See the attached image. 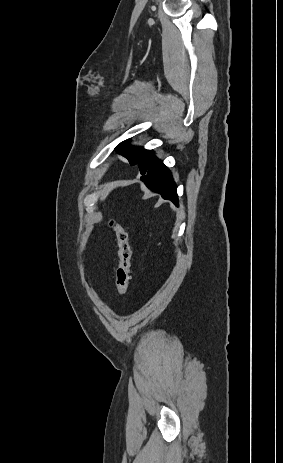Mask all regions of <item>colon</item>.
<instances>
[{
    "label": "colon",
    "instance_id": "5ec220e1",
    "mask_svg": "<svg viewBox=\"0 0 283 463\" xmlns=\"http://www.w3.org/2000/svg\"><path fill=\"white\" fill-rule=\"evenodd\" d=\"M114 231L118 242L119 263L116 271V287L119 296L123 299L126 296L129 287V275L131 267V248L128 239V233L122 225L115 221L109 223Z\"/></svg>",
    "mask_w": 283,
    "mask_h": 463
}]
</instances>
